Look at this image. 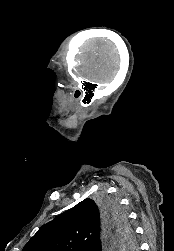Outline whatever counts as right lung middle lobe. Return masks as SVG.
I'll return each mask as SVG.
<instances>
[{
    "label": "right lung middle lobe",
    "mask_w": 174,
    "mask_h": 251,
    "mask_svg": "<svg viewBox=\"0 0 174 251\" xmlns=\"http://www.w3.org/2000/svg\"><path fill=\"white\" fill-rule=\"evenodd\" d=\"M96 204L103 213L104 218L114 227L115 234L121 237L120 247L125 250H134L136 241L128 221L127 214L118 200L103 194L96 198Z\"/></svg>",
    "instance_id": "dd1d6c3e"
}]
</instances>
